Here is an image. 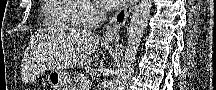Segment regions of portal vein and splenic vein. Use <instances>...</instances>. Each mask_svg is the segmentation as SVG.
<instances>
[{
  "instance_id": "18ae733b",
  "label": "portal vein and splenic vein",
  "mask_w": 216,
  "mask_h": 90,
  "mask_svg": "<svg viewBox=\"0 0 216 90\" xmlns=\"http://www.w3.org/2000/svg\"><path fill=\"white\" fill-rule=\"evenodd\" d=\"M89 86H90V80H85V78H83V84L81 86V90H89Z\"/></svg>"
}]
</instances>
